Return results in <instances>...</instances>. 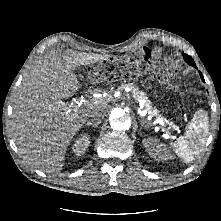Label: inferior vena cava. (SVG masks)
Wrapping results in <instances>:
<instances>
[{"label":"inferior vena cava","mask_w":221,"mask_h":221,"mask_svg":"<svg viewBox=\"0 0 221 221\" xmlns=\"http://www.w3.org/2000/svg\"><path fill=\"white\" fill-rule=\"evenodd\" d=\"M103 114L100 113L99 111H94L89 119H88V124L89 125H99L102 122Z\"/></svg>","instance_id":"602c4592"}]
</instances>
